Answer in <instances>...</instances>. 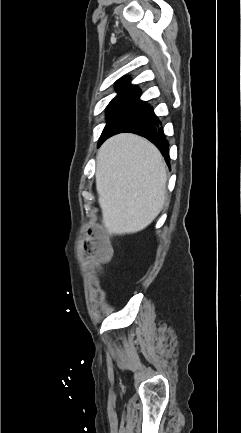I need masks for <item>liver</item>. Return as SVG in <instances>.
<instances>
[{"mask_svg":"<svg viewBox=\"0 0 241 433\" xmlns=\"http://www.w3.org/2000/svg\"><path fill=\"white\" fill-rule=\"evenodd\" d=\"M166 164L160 151L131 133L109 138L97 154L96 189L108 233L145 229L161 212L166 196Z\"/></svg>","mask_w":241,"mask_h":433,"instance_id":"liver-1","label":"liver"}]
</instances>
